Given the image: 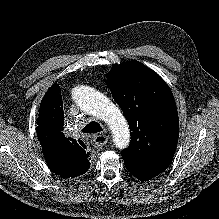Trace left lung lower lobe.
I'll use <instances>...</instances> for the list:
<instances>
[{
    "label": "left lung lower lobe",
    "instance_id": "1",
    "mask_svg": "<svg viewBox=\"0 0 219 219\" xmlns=\"http://www.w3.org/2000/svg\"><path fill=\"white\" fill-rule=\"evenodd\" d=\"M124 163L127 170L141 181L150 180L165 171L169 166V164L133 162L128 159H124Z\"/></svg>",
    "mask_w": 219,
    "mask_h": 219
}]
</instances>
